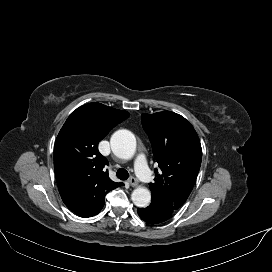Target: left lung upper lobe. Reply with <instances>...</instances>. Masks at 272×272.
I'll list each match as a JSON object with an SVG mask.
<instances>
[{"label": "left lung upper lobe", "mask_w": 272, "mask_h": 272, "mask_svg": "<svg viewBox=\"0 0 272 272\" xmlns=\"http://www.w3.org/2000/svg\"><path fill=\"white\" fill-rule=\"evenodd\" d=\"M142 125L160 170L150 183L151 204L174 213L187 200L196 181L202 148L193 126L171 111L142 114Z\"/></svg>", "instance_id": "5c2ea615"}]
</instances>
